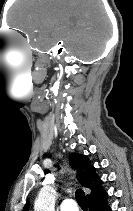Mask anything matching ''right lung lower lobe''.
<instances>
[{
  "label": "right lung lower lobe",
  "mask_w": 133,
  "mask_h": 211,
  "mask_svg": "<svg viewBox=\"0 0 133 211\" xmlns=\"http://www.w3.org/2000/svg\"><path fill=\"white\" fill-rule=\"evenodd\" d=\"M106 198L102 200L88 203L90 211H111V208L107 205Z\"/></svg>",
  "instance_id": "obj_1"
}]
</instances>
